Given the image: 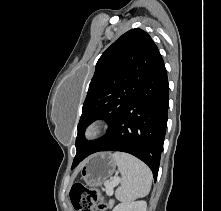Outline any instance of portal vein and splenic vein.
Here are the masks:
<instances>
[{
    "mask_svg": "<svg viewBox=\"0 0 221 211\" xmlns=\"http://www.w3.org/2000/svg\"><path fill=\"white\" fill-rule=\"evenodd\" d=\"M120 178L118 176L114 177L113 181H106V192L108 195L113 193V188L118 185Z\"/></svg>",
    "mask_w": 221,
    "mask_h": 211,
    "instance_id": "obj_1",
    "label": "portal vein and splenic vein"
}]
</instances>
